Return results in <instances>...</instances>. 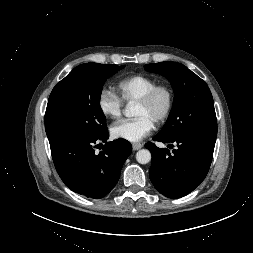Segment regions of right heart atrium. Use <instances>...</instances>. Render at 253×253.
<instances>
[{
    "label": "right heart atrium",
    "instance_id": "right-heart-atrium-1",
    "mask_svg": "<svg viewBox=\"0 0 253 253\" xmlns=\"http://www.w3.org/2000/svg\"><path fill=\"white\" fill-rule=\"evenodd\" d=\"M97 106L101 114L107 118L116 119L122 115L123 101L111 90L104 89L99 93Z\"/></svg>",
    "mask_w": 253,
    "mask_h": 253
}]
</instances>
